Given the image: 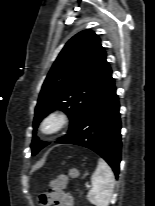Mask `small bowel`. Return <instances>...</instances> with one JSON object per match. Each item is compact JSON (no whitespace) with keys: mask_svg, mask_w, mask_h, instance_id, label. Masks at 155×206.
<instances>
[{"mask_svg":"<svg viewBox=\"0 0 155 206\" xmlns=\"http://www.w3.org/2000/svg\"><path fill=\"white\" fill-rule=\"evenodd\" d=\"M46 202H51L52 206H75L72 195L63 191L62 188L52 187V192L46 198Z\"/></svg>","mask_w":155,"mask_h":206,"instance_id":"1","label":"small bowel"}]
</instances>
